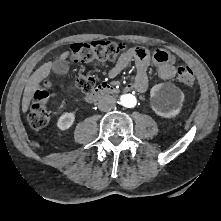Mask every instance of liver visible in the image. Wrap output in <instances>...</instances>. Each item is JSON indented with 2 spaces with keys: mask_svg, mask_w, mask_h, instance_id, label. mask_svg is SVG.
<instances>
[{
  "mask_svg": "<svg viewBox=\"0 0 221 221\" xmlns=\"http://www.w3.org/2000/svg\"><path fill=\"white\" fill-rule=\"evenodd\" d=\"M70 52L66 51L60 55V59L64 60L69 56ZM52 68V62L44 63L40 66L28 79V82L24 89L23 99H22V111L27 112L30 101L33 98L35 91L38 89L39 84L49 76Z\"/></svg>",
  "mask_w": 221,
  "mask_h": 221,
  "instance_id": "6515ba94",
  "label": "liver"
}]
</instances>
